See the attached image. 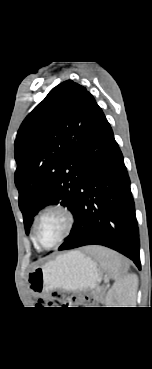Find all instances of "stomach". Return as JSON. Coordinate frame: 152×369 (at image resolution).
Here are the masks:
<instances>
[{
  "label": "stomach",
  "instance_id": "stomach-1",
  "mask_svg": "<svg viewBox=\"0 0 152 369\" xmlns=\"http://www.w3.org/2000/svg\"><path fill=\"white\" fill-rule=\"evenodd\" d=\"M101 277L102 272L95 261L78 251H71L33 268L28 275V284L31 291L39 296L56 288L91 290Z\"/></svg>",
  "mask_w": 152,
  "mask_h": 369
}]
</instances>
